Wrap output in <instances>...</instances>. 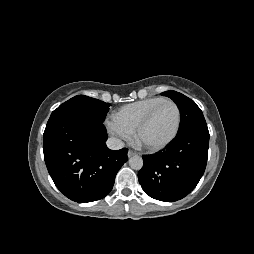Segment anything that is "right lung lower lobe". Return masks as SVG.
<instances>
[{"instance_id": "obj_1", "label": "right lung lower lobe", "mask_w": 254, "mask_h": 254, "mask_svg": "<svg viewBox=\"0 0 254 254\" xmlns=\"http://www.w3.org/2000/svg\"><path fill=\"white\" fill-rule=\"evenodd\" d=\"M102 122L75 113L50 116L43 135L44 159L56 187L83 203L105 197L128 160L126 148H107Z\"/></svg>"}]
</instances>
